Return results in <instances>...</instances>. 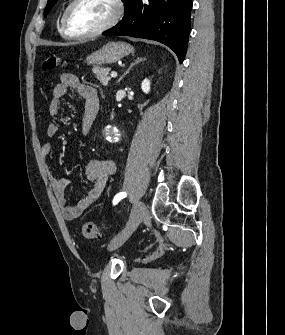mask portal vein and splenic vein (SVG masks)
<instances>
[{"instance_id":"obj_1","label":"portal vein and splenic vein","mask_w":285,"mask_h":335,"mask_svg":"<svg viewBox=\"0 0 285 335\" xmlns=\"http://www.w3.org/2000/svg\"><path fill=\"white\" fill-rule=\"evenodd\" d=\"M110 76H111V78H116L117 72H111Z\"/></svg>"}]
</instances>
